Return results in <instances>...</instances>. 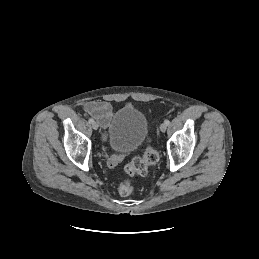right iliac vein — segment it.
I'll return each instance as SVG.
<instances>
[{
    "mask_svg": "<svg viewBox=\"0 0 259 259\" xmlns=\"http://www.w3.org/2000/svg\"><path fill=\"white\" fill-rule=\"evenodd\" d=\"M92 128H93L94 130H97V129L99 128L98 123H97V122H93V123H92Z\"/></svg>",
    "mask_w": 259,
    "mask_h": 259,
    "instance_id": "right-iliac-vein-1",
    "label": "right iliac vein"
}]
</instances>
